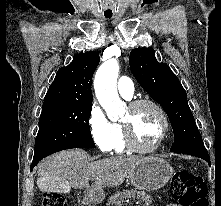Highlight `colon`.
<instances>
[{"mask_svg": "<svg viewBox=\"0 0 221 206\" xmlns=\"http://www.w3.org/2000/svg\"><path fill=\"white\" fill-rule=\"evenodd\" d=\"M171 193L181 206H208L206 185L199 175L191 171L178 170L174 173ZM42 206H69V200L62 194H44Z\"/></svg>", "mask_w": 221, "mask_h": 206, "instance_id": "obj_1", "label": "colon"}]
</instances>
